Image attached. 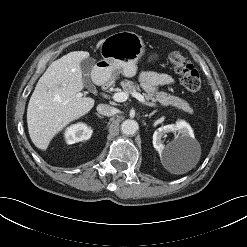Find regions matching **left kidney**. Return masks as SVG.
<instances>
[{"label":"left kidney","instance_id":"left-kidney-1","mask_svg":"<svg viewBox=\"0 0 247 247\" xmlns=\"http://www.w3.org/2000/svg\"><path fill=\"white\" fill-rule=\"evenodd\" d=\"M177 132L173 141L164 145L162 138L167 133ZM197 145L192 128L188 123L180 120L177 124L166 125L158 128L153 134V146L158 151L160 157L169 156L185 157L189 155L192 148Z\"/></svg>","mask_w":247,"mask_h":247}]
</instances>
